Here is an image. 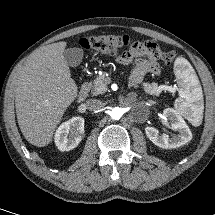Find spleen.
I'll return each mask as SVG.
<instances>
[{
  "mask_svg": "<svg viewBox=\"0 0 215 215\" xmlns=\"http://www.w3.org/2000/svg\"><path fill=\"white\" fill-rule=\"evenodd\" d=\"M174 68L180 86L179 97L174 105L177 112L191 120L192 115L201 112L203 108L202 104L199 105L202 98L201 88L186 59L178 57Z\"/></svg>",
  "mask_w": 215,
  "mask_h": 215,
  "instance_id": "spleen-1",
  "label": "spleen"
}]
</instances>
